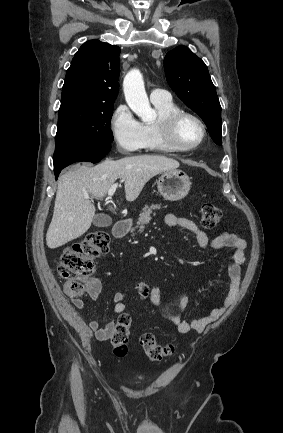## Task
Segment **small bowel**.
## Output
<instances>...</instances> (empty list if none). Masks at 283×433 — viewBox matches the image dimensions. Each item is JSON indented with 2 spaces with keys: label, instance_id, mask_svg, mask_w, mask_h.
Listing matches in <instances>:
<instances>
[{
  "label": "small bowel",
  "instance_id": "1",
  "mask_svg": "<svg viewBox=\"0 0 283 433\" xmlns=\"http://www.w3.org/2000/svg\"><path fill=\"white\" fill-rule=\"evenodd\" d=\"M165 223L169 227H180L194 234L197 244L201 248L221 249L230 247L234 250L233 262L228 268L229 286L227 294L221 306L213 309L207 315L195 318L192 320H185L179 314H169L168 319L171 323L177 326V329L182 334H187L190 331H203L210 323L219 320L235 302L241 281V266L245 262L246 256V241L239 235L230 232H222L216 237H209L199 226L190 219L177 217L174 214H167ZM102 285L98 279H91L88 294L93 300L98 299L101 294ZM135 290L141 300H149L155 306H161L162 296L161 288L158 286L151 287L145 282L139 281L135 284ZM126 294L124 292H117L113 295L112 301L114 303L113 311L119 315L126 309L125 304ZM72 304L76 309H82L85 306L84 301L78 298H72ZM188 305V298L181 296L177 301V308L179 310L186 309ZM72 307L65 309V315L70 322L80 327L84 326V322L77 312ZM116 321L112 320L105 326H101L98 321L91 320L88 323V328L94 333L96 338L100 341H105L111 337Z\"/></svg>",
  "mask_w": 283,
  "mask_h": 433
}]
</instances>
